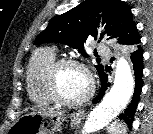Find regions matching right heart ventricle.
<instances>
[{"mask_svg": "<svg viewBox=\"0 0 153 134\" xmlns=\"http://www.w3.org/2000/svg\"><path fill=\"white\" fill-rule=\"evenodd\" d=\"M56 59V54L48 48L36 50L27 65L26 89L29 99L38 105L46 106L54 101L46 91L44 74L47 67Z\"/></svg>", "mask_w": 153, "mask_h": 134, "instance_id": "obj_1", "label": "right heart ventricle"}]
</instances>
